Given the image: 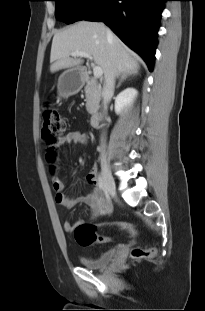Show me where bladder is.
I'll return each instance as SVG.
<instances>
[{"mask_svg":"<svg viewBox=\"0 0 205 311\" xmlns=\"http://www.w3.org/2000/svg\"><path fill=\"white\" fill-rule=\"evenodd\" d=\"M118 254V249L116 247L107 249L97 256L90 257L86 254H81L79 256L80 263L89 270H100L112 263Z\"/></svg>","mask_w":205,"mask_h":311,"instance_id":"31cf9c89","label":"bladder"}]
</instances>
